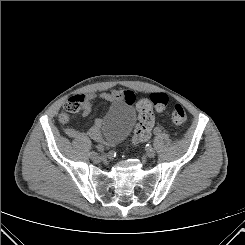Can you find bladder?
Instances as JSON below:
<instances>
[{
    "label": "bladder",
    "instance_id": "bladder-1",
    "mask_svg": "<svg viewBox=\"0 0 245 245\" xmlns=\"http://www.w3.org/2000/svg\"><path fill=\"white\" fill-rule=\"evenodd\" d=\"M135 122L133 108L123 102L113 104L101 121V130L105 140L118 144L130 133Z\"/></svg>",
    "mask_w": 245,
    "mask_h": 245
}]
</instances>
